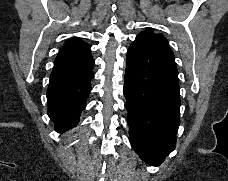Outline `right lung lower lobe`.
<instances>
[{"instance_id": "1", "label": "right lung lower lobe", "mask_w": 228, "mask_h": 181, "mask_svg": "<svg viewBox=\"0 0 228 181\" xmlns=\"http://www.w3.org/2000/svg\"><path fill=\"white\" fill-rule=\"evenodd\" d=\"M93 65L90 45L56 58L47 90V112L56 131L65 132L79 122L91 90Z\"/></svg>"}]
</instances>
